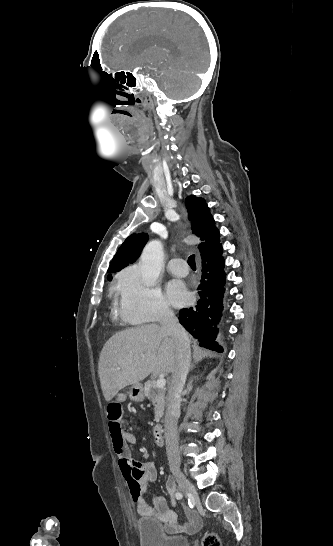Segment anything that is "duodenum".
<instances>
[{
	"instance_id": "duodenum-1",
	"label": "duodenum",
	"mask_w": 333,
	"mask_h": 546,
	"mask_svg": "<svg viewBox=\"0 0 333 546\" xmlns=\"http://www.w3.org/2000/svg\"><path fill=\"white\" fill-rule=\"evenodd\" d=\"M153 439L158 446L164 445V429L163 426L158 425L153 430Z\"/></svg>"
}]
</instances>
